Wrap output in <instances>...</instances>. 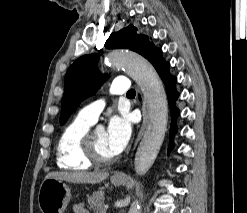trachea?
<instances>
[{
	"label": "trachea",
	"instance_id": "obj_1",
	"mask_svg": "<svg viewBox=\"0 0 247 213\" xmlns=\"http://www.w3.org/2000/svg\"><path fill=\"white\" fill-rule=\"evenodd\" d=\"M127 94H128V95H130V94H135V90H134V89H131V90H129V91L127 92Z\"/></svg>",
	"mask_w": 247,
	"mask_h": 213
}]
</instances>
